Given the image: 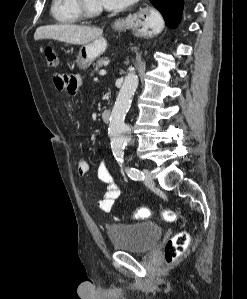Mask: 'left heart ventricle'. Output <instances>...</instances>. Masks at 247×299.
Listing matches in <instances>:
<instances>
[{"mask_svg": "<svg viewBox=\"0 0 247 299\" xmlns=\"http://www.w3.org/2000/svg\"><path fill=\"white\" fill-rule=\"evenodd\" d=\"M89 1H90L91 5L94 7H102L99 0H89Z\"/></svg>", "mask_w": 247, "mask_h": 299, "instance_id": "1", "label": "left heart ventricle"}]
</instances>
